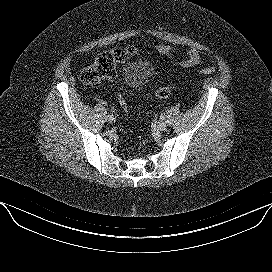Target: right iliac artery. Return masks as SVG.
<instances>
[{
	"instance_id": "right-iliac-artery-1",
	"label": "right iliac artery",
	"mask_w": 272,
	"mask_h": 272,
	"mask_svg": "<svg viewBox=\"0 0 272 272\" xmlns=\"http://www.w3.org/2000/svg\"><path fill=\"white\" fill-rule=\"evenodd\" d=\"M107 116H108V117H111V116H113V115H112L111 112H108V113H107Z\"/></svg>"
}]
</instances>
